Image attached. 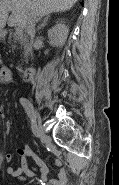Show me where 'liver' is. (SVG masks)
Wrapping results in <instances>:
<instances>
[{"label": "liver", "instance_id": "obj_1", "mask_svg": "<svg viewBox=\"0 0 119 185\" xmlns=\"http://www.w3.org/2000/svg\"><path fill=\"white\" fill-rule=\"evenodd\" d=\"M78 0H0V29L8 21L9 26L26 28L28 14L38 21L41 17L55 12H64ZM12 15L8 17V13Z\"/></svg>", "mask_w": 119, "mask_h": 185}]
</instances>
